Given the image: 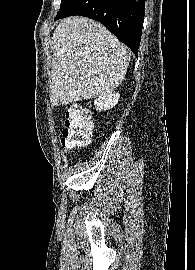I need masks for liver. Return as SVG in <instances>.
Instances as JSON below:
<instances>
[{"instance_id":"1","label":"liver","mask_w":195,"mask_h":270,"mask_svg":"<svg viewBox=\"0 0 195 270\" xmlns=\"http://www.w3.org/2000/svg\"><path fill=\"white\" fill-rule=\"evenodd\" d=\"M52 48L54 106L111 93L123 81L131 59L128 48L102 24L80 16L59 23Z\"/></svg>"}]
</instances>
